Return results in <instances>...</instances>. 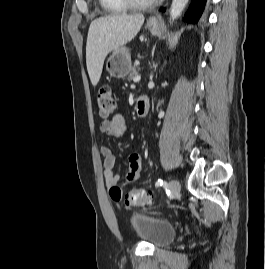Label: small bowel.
<instances>
[{
    "instance_id": "small-bowel-1",
    "label": "small bowel",
    "mask_w": 265,
    "mask_h": 269,
    "mask_svg": "<svg viewBox=\"0 0 265 269\" xmlns=\"http://www.w3.org/2000/svg\"><path fill=\"white\" fill-rule=\"evenodd\" d=\"M99 129L103 134L113 137H122L127 130V123L122 115L117 114L112 119L103 120L99 125ZM100 153L104 159V178L106 184L110 187L117 186L120 177L114 172V169L118 157L108 146H102ZM141 165L142 157L140 154L133 153L129 156V169L125 177V183H132L138 179Z\"/></svg>"
}]
</instances>
